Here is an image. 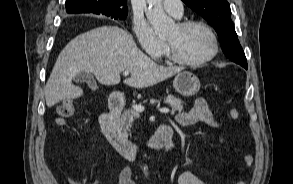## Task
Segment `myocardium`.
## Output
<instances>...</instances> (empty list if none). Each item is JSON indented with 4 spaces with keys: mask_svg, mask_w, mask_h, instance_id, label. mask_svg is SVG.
Wrapping results in <instances>:
<instances>
[{
    "mask_svg": "<svg viewBox=\"0 0 293 184\" xmlns=\"http://www.w3.org/2000/svg\"><path fill=\"white\" fill-rule=\"evenodd\" d=\"M177 26L180 30H187L195 26L204 28L211 37L212 49L209 52V54H207L203 58H200L198 60H187L180 57L175 51L173 45L170 42H167V55L171 61L180 65H184V66H200L211 61L218 54V51H219L218 36L210 24L202 20H187V21L180 22Z\"/></svg>",
    "mask_w": 293,
    "mask_h": 184,
    "instance_id": "f54148a6",
    "label": "myocardium"
}]
</instances>
